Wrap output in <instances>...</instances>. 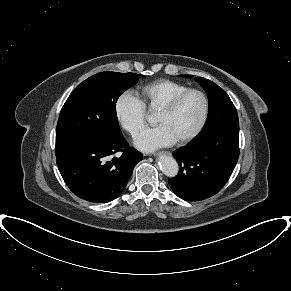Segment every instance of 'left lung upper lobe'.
<instances>
[{
  "label": "left lung upper lobe",
  "instance_id": "5c2ea615",
  "mask_svg": "<svg viewBox=\"0 0 291 291\" xmlns=\"http://www.w3.org/2000/svg\"><path fill=\"white\" fill-rule=\"evenodd\" d=\"M190 77V75H185ZM196 81L203 87L209 98V114L202 131L193 139H201L217 130H239L236 108L226 92L210 80L197 77Z\"/></svg>",
  "mask_w": 291,
  "mask_h": 291
}]
</instances>
